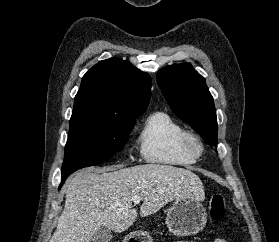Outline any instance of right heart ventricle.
<instances>
[{"label": "right heart ventricle", "mask_w": 279, "mask_h": 242, "mask_svg": "<svg viewBox=\"0 0 279 242\" xmlns=\"http://www.w3.org/2000/svg\"><path fill=\"white\" fill-rule=\"evenodd\" d=\"M184 129L169 114L157 111L144 121L137 143L142 158L159 165L185 167L196 163L197 156L182 144Z\"/></svg>", "instance_id": "1"}]
</instances>
